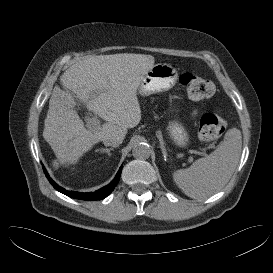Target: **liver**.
<instances>
[{
	"mask_svg": "<svg viewBox=\"0 0 273 273\" xmlns=\"http://www.w3.org/2000/svg\"><path fill=\"white\" fill-rule=\"evenodd\" d=\"M152 55L120 53L88 56L61 76L44 121L43 137L62 164H74L96 143L108 137L121 142L128 128L141 120L139 84L154 66ZM76 100L106 122L96 131L85 128L74 109Z\"/></svg>",
	"mask_w": 273,
	"mask_h": 273,
	"instance_id": "obj_1",
	"label": "liver"
}]
</instances>
